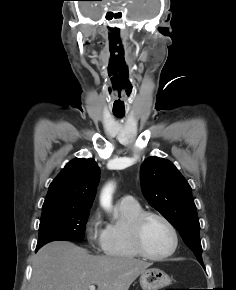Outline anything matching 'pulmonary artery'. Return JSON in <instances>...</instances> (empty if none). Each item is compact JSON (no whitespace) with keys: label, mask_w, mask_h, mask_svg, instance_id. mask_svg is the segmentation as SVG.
Instances as JSON below:
<instances>
[{"label":"pulmonary artery","mask_w":236,"mask_h":290,"mask_svg":"<svg viewBox=\"0 0 236 290\" xmlns=\"http://www.w3.org/2000/svg\"><path fill=\"white\" fill-rule=\"evenodd\" d=\"M120 202L125 204H133L136 203V200L131 195H125L124 197L121 198Z\"/></svg>","instance_id":"e3ab8cb5"}]
</instances>
